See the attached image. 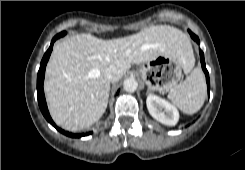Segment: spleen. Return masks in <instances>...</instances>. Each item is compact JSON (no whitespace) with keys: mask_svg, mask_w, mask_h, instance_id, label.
I'll use <instances>...</instances> for the list:
<instances>
[{"mask_svg":"<svg viewBox=\"0 0 245 170\" xmlns=\"http://www.w3.org/2000/svg\"><path fill=\"white\" fill-rule=\"evenodd\" d=\"M190 57L194 59L192 51ZM168 98L183 113L192 115L200 110L206 98V82L202 70L194 68L182 83L169 91Z\"/></svg>","mask_w":245,"mask_h":170,"instance_id":"spleen-1","label":"spleen"}]
</instances>
